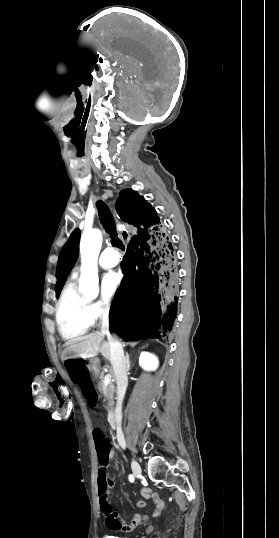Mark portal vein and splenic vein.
<instances>
[{"instance_id":"obj_1","label":"portal vein and splenic vein","mask_w":279,"mask_h":538,"mask_svg":"<svg viewBox=\"0 0 279 538\" xmlns=\"http://www.w3.org/2000/svg\"><path fill=\"white\" fill-rule=\"evenodd\" d=\"M110 378V374H107V376H105L104 386H109Z\"/></svg>"}]
</instances>
